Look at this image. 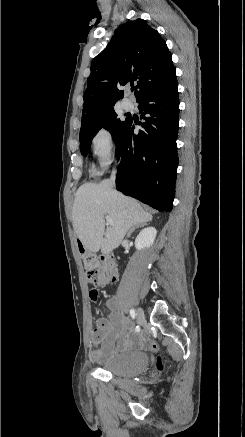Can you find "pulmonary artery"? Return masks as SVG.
I'll use <instances>...</instances> for the list:
<instances>
[{
    "mask_svg": "<svg viewBox=\"0 0 245 437\" xmlns=\"http://www.w3.org/2000/svg\"><path fill=\"white\" fill-rule=\"evenodd\" d=\"M124 110L129 111L133 108V103L129 99H124L121 103Z\"/></svg>",
    "mask_w": 245,
    "mask_h": 437,
    "instance_id": "e3ab8cb5",
    "label": "pulmonary artery"
}]
</instances>
